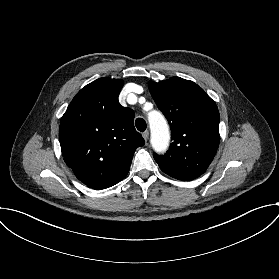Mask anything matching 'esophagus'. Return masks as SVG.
<instances>
[{"instance_id": "obj_1", "label": "esophagus", "mask_w": 279, "mask_h": 279, "mask_svg": "<svg viewBox=\"0 0 279 279\" xmlns=\"http://www.w3.org/2000/svg\"><path fill=\"white\" fill-rule=\"evenodd\" d=\"M142 137L144 138L145 142H147L149 139V131L148 130L144 131L142 133Z\"/></svg>"}]
</instances>
